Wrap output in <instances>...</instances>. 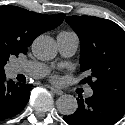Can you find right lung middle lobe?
<instances>
[{
	"label": "right lung middle lobe",
	"mask_w": 125,
	"mask_h": 125,
	"mask_svg": "<svg viewBox=\"0 0 125 125\" xmlns=\"http://www.w3.org/2000/svg\"><path fill=\"white\" fill-rule=\"evenodd\" d=\"M4 73V64L0 66V74Z\"/></svg>",
	"instance_id": "obj_1"
}]
</instances>
